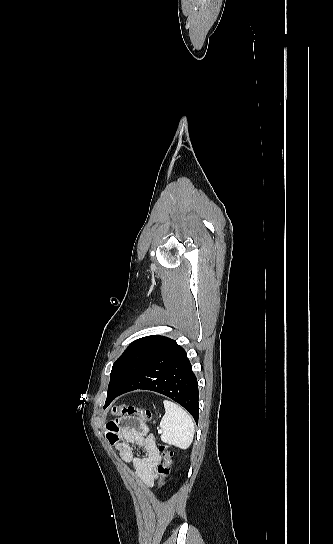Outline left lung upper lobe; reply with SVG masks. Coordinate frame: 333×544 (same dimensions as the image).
Segmentation results:
<instances>
[{
  "instance_id": "1",
  "label": "left lung upper lobe",
  "mask_w": 333,
  "mask_h": 544,
  "mask_svg": "<svg viewBox=\"0 0 333 544\" xmlns=\"http://www.w3.org/2000/svg\"><path fill=\"white\" fill-rule=\"evenodd\" d=\"M170 340L168 337L152 335L133 341L113 364L108 393L122 389Z\"/></svg>"
}]
</instances>
